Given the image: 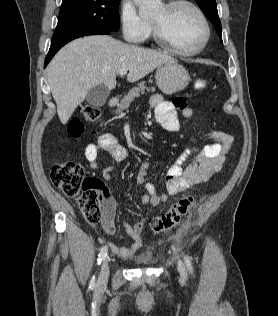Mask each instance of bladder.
<instances>
[{
	"label": "bladder",
	"instance_id": "obj_1",
	"mask_svg": "<svg viewBox=\"0 0 278 316\" xmlns=\"http://www.w3.org/2000/svg\"><path fill=\"white\" fill-rule=\"evenodd\" d=\"M136 263L141 265H149L153 263V260L151 258H139L136 260Z\"/></svg>",
	"mask_w": 278,
	"mask_h": 316
}]
</instances>
